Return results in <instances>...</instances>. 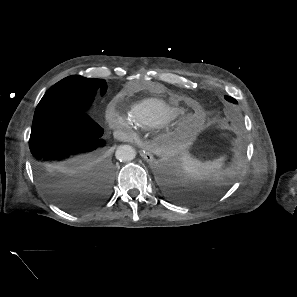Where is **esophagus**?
I'll list each match as a JSON object with an SVG mask.
<instances>
[{
	"mask_svg": "<svg viewBox=\"0 0 297 297\" xmlns=\"http://www.w3.org/2000/svg\"><path fill=\"white\" fill-rule=\"evenodd\" d=\"M140 155L147 162H152L153 161V154L148 149L140 151Z\"/></svg>",
	"mask_w": 297,
	"mask_h": 297,
	"instance_id": "34e87169",
	"label": "esophagus"
}]
</instances>
